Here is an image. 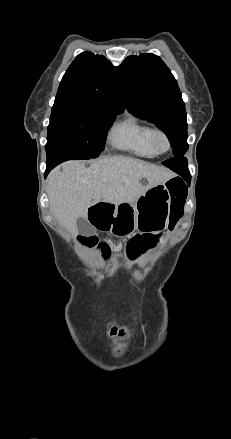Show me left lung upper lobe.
<instances>
[{"label": "left lung upper lobe", "mask_w": 231, "mask_h": 439, "mask_svg": "<svg viewBox=\"0 0 231 439\" xmlns=\"http://www.w3.org/2000/svg\"><path fill=\"white\" fill-rule=\"evenodd\" d=\"M126 108L154 123L168 137L175 157L188 149L185 104L177 82L154 54L129 56L116 67Z\"/></svg>", "instance_id": "1"}]
</instances>
